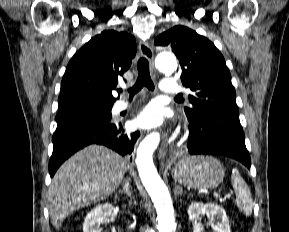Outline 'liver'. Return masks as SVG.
<instances>
[{"mask_svg": "<svg viewBox=\"0 0 289 232\" xmlns=\"http://www.w3.org/2000/svg\"><path fill=\"white\" fill-rule=\"evenodd\" d=\"M127 159L103 146L90 145L65 161L49 188V215L55 229L74 211L106 199L120 185Z\"/></svg>", "mask_w": 289, "mask_h": 232, "instance_id": "1", "label": "liver"}]
</instances>
